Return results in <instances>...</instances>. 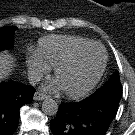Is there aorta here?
<instances>
[{
    "label": "aorta",
    "mask_w": 135,
    "mask_h": 135,
    "mask_svg": "<svg viewBox=\"0 0 135 135\" xmlns=\"http://www.w3.org/2000/svg\"><path fill=\"white\" fill-rule=\"evenodd\" d=\"M42 111L46 115L53 116L58 112V104L52 98H47L42 103Z\"/></svg>",
    "instance_id": "obj_1"
}]
</instances>
